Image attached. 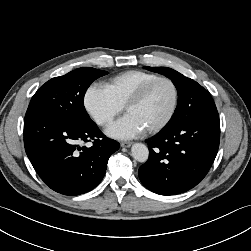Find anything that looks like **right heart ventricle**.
<instances>
[{"label":"right heart ventricle","mask_w":251,"mask_h":251,"mask_svg":"<svg viewBox=\"0 0 251 251\" xmlns=\"http://www.w3.org/2000/svg\"><path fill=\"white\" fill-rule=\"evenodd\" d=\"M157 77L159 76L155 73L142 70H129L108 79L104 83V87L124 107L141 86Z\"/></svg>","instance_id":"obj_1"}]
</instances>
